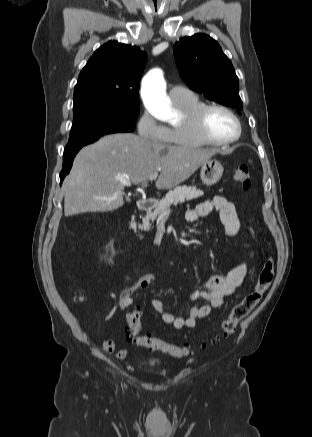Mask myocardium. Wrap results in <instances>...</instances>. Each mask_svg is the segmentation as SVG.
Masks as SVG:
<instances>
[{"label": "myocardium", "instance_id": "1", "mask_svg": "<svg viewBox=\"0 0 312 437\" xmlns=\"http://www.w3.org/2000/svg\"><path fill=\"white\" fill-rule=\"evenodd\" d=\"M214 109H219L224 112H226L228 115H230L237 126V131L234 136L231 138H228L226 140H216L211 138L205 129V119L208 115V113ZM186 123L188 125V128L192 132V134L195 136L196 139H198L203 144L212 145V146H226L229 144H232L236 142L242 134V124L238 117V115L229 107L223 104L219 103H211V104H204L195 111H193L187 118Z\"/></svg>", "mask_w": 312, "mask_h": 437}]
</instances>
